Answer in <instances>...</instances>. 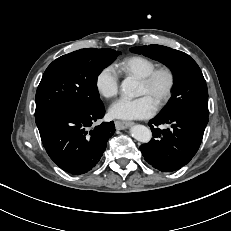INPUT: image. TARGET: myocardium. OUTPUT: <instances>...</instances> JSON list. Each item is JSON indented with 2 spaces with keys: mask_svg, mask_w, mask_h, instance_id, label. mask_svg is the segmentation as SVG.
I'll list each match as a JSON object with an SVG mask.
<instances>
[{
  "mask_svg": "<svg viewBox=\"0 0 231 231\" xmlns=\"http://www.w3.org/2000/svg\"><path fill=\"white\" fill-rule=\"evenodd\" d=\"M161 78L165 79V87L155 103L157 109L165 106L173 95L176 86V74L173 68L168 65L155 67L146 76L140 78V82L148 89H152Z\"/></svg>",
  "mask_w": 231,
  "mask_h": 231,
  "instance_id": "myocardium-1",
  "label": "myocardium"
}]
</instances>
